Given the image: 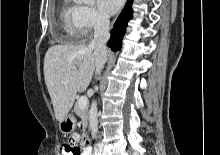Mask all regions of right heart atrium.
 Returning <instances> with one entry per match:
<instances>
[{"label":"right heart atrium","mask_w":220,"mask_h":155,"mask_svg":"<svg viewBox=\"0 0 220 155\" xmlns=\"http://www.w3.org/2000/svg\"><path fill=\"white\" fill-rule=\"evenodd\" d=\"M108 17L94 6H83L80 16V29L82 35H90L95 31L106 28Z\"/></svg>","instance_id":"1"}]
</instances>
